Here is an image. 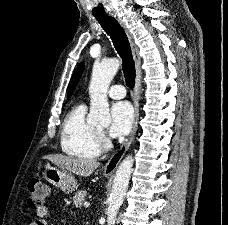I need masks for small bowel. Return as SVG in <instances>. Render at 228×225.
Instances as JSON below:
<instances>
[{"instance_id":"1","label":"small bowel","mask_w":228,"mask_h":225,"mask_svg":"<svg viewBox=\"0 0 228 225\" xmlns=\"http://www.w3.org/2000/svg\"><path fill=\"white\" fill-rule=\"evenodd\" d=\"M49 215V209L47 206H42L36 210V216L39 218L37 221L32 222L31 225H50L46 218Z\"/></svg>"}]
</instances>
